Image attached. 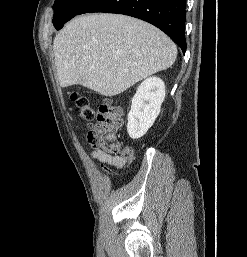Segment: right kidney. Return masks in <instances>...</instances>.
I'll use <instances>...</instances> for the list:
<instances>
[{"mask_svg": "<svg viewBox=\"0 0 247 257\" xmlns=\"http://www.w3.org/2000/svg\"><path fill=\"white\" fill-rule=\"evenodd\" d=\"M164 98L165 84L162 79L149 77L140 84L128 114L127 132L130 138L139 139L146 134L159 115Z\"/></svg>", "mask_w": 247, "mask_h": 257, "instance_id": "right-kidney-1", "label": "right kidney"}]
</instances>
